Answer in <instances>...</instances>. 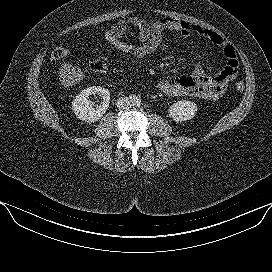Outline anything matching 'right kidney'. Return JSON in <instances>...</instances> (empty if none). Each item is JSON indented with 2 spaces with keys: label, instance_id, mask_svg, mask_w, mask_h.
<instances>
[{
  "label": "right kidney",
  "instance_id": "1",
  "mask_svg": "<svg viewBox=\"0 0 272 272\" xmlns=\"http://www.w3.org/2000/svg\"><path fill=\"white\" fill-rule=\"evenodd\" d=\"M92 94H99L102 102L99 106L94 107V103L89 100ZM110 103V93L106 88L93 86L84 89L78 94L72 102V110L82 121L92 123L98 121L107 111Z\"/></svg>",
  "mask_w": 272,
  "mask_h": 272
}]
</instances>
